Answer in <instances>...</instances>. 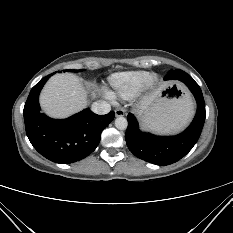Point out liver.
Here are the masks:
<instances>
[{"label":"liver","instance_id":"6515ba94","mask_svg":"<svg viewBox=\"0 0 233 233\" xmlns=\"http://www.w3.org/2000/svg\"><path fill=\"white\" fill-rule=\"evenodd\" d=\"M165 86L161 85L156 91L143 97L137 112H145ZM90 96H95V93L76 75L62 73L52 76L45 84L40 95V104L50 117L66 118L83 110L88 105Z\"/></svg>","mask_w":233,"mask_h":233}]
</instances>
